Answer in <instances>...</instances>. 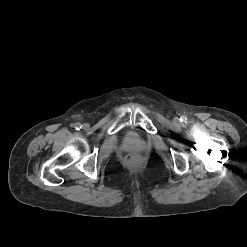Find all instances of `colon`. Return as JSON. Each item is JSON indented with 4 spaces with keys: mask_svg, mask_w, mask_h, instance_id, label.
Returning <instances> with one entry per match:
<instances>
[{
    "mask_svg": "<svg viewBox=\"0 0 247 247\" xmlns=\"http://www.w3.org/2000/svg\"><path fill=\"white\" fill-rule=\"evenodd\" d=\"M128 160H129L130 162H134V161H135V157H134V156H129V157H128Z\"/></svg>",
    "mask_w": 247,
    "mask_h": 247,
    "instance_id": "colon-1",
    "label": "colon"
}]
</instances>
